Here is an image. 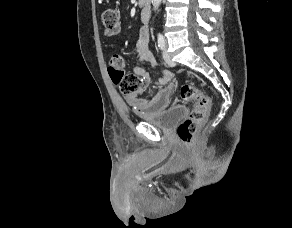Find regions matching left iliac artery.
<instances>
[{
    "label": "left iliac artery",
    "instance_id": "1",
    "mask_svg": "<svg viewBox=\"0 0 292 228\" xmlns=\"http://www.w3.org/2000/svg\"><path fill=\"white\" fill-rule=\"evenodd\" d=\"M157 39H158L159 48L163 50L165 48V45H166L163 35L162 34H158Z\"/></svg>",
    "mask_w": 292,
    "mask_h": 228
}]
</instances>
